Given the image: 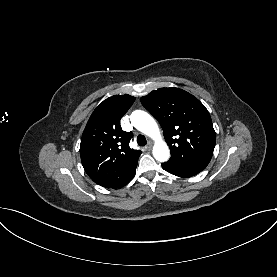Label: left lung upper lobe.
Instances as JSON below:
<instances>
[{
	"label": "left lung upper lobe",
	"instance_id": "1",
	"mask_svg": "<svg viewBox=\"0 0 277 277\" xmlns=\"http://www.w3.org/2000/svg\"><path fill=\"white\" fill-rule=\"evenodd\" d=\"M140 100L162 126L171 150L169 161L210 162L215 131L209 112L196 97L171 87L152 91Z\"/></svg>",
	"mask_w": 277,
	"mask_h": 277
}]
</instances>
